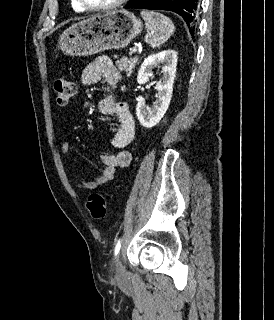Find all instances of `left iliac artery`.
<instances>
[{
  "mask_svg": "<svg viewBox=\"0 0 274 320\" xmlns=\"http://www.w3.org/2000/svg\"><path fill=\"white\" fill-rule=\"evenodd\" d=\"M120 248H121V240L119 239L116 246H115V253H114L115 257L118 255Z\"/></svg>",
  "mask_w": 274,
  "mask_h": 320,
  "instance_id": "1",
  "label": "left iliac artery"
}]
</instances>
